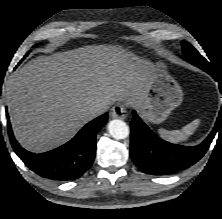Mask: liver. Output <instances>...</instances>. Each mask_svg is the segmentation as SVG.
<instances>
[{
	"label": "liver",
	"mask_w": 222,
	"mask_h": 219,
	"mask_svg": "<svg viewBox=\"0 0 222 219\" xmlns=\"http://www.w3.org/2000/svg\"><path fill=\"white\" fill-rule=\"evenodd\" d=\"M153 72L150 61L114 45H88L32 59L8 82L15 137L36 153L57 147L95 118L90 112L94 106L137 104Z\"/></svg>",
	"instance_id": "liver-1"
}]
</instances>
